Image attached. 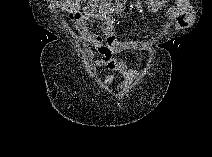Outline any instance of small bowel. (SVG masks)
Wrapping results in <instances>:
<instances>
[{"label":"small bowel","mask_w":212,"mask_h":157,"mask_svg":"<svg viewBox=\"0 0 212 157\" xmlns=\"http://www.w3.org/2000/svg\"><path fill=\"white\" fill-rule=\"evenodd\" d=\"M165 2L155 3L156 9H161ZM50 5L66 13L75 25L76 32L86 41L94 45L100 57L93 62L109 70L103 79V86H109L117 78L121 79L120 88H127L138 77L139 72L127 66L118 55L130 50H142L148 46L145 42L120 41L115 33V16L122 15L125 10L124 0L79 1V0H52ZM135 9L140 10L143 4L140 1L133 3ZM187 2L178 1L166 10V18L177 25H184L188 21ZM96 26L101 35L90 30Z\"/></svg>","instance_id":"1"}]
</instances>
